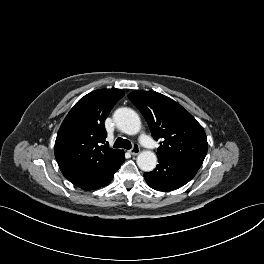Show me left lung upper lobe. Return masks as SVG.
<instances>
[{"label":"left lung upper lobe","mask_w":264,"mask_h":264,"mask_svg":"<svg viewBox=\"0 0 264 264\" xmlns=\"http://www.w3.org/2000/svg\"><path fill=\"white\" fill-rule=\"evenodd\" d=\"M129 99L145 117L152 136L160 140L158 157L186 162L199 169L207 153L202 126L181 105L155 91H134Z\"/></svg>","instance_id":"obj_1"}]
</instances>
